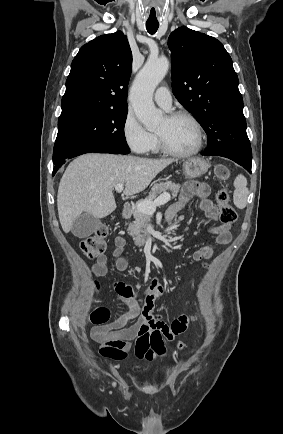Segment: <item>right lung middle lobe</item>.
<instances>
[{
	"instance_id": "right-lung-middle-lobe-1",
	"label": "right lung middle lobe",
	"mask_w": 283,
	"mask_h": 434,
	"mask_svg": "<svg viewBox=\"0 0 283 434\" xmlns=\"http://www.w3.org/2000/svg\"><path fill=\"white\" fill-rule=\"evenodd\" d=\"M126 117L127 108L60 116L53 163L89 148H106L128 154L130 150L124 135Z\"/></svg>"
}]
</instances>
